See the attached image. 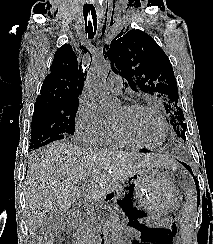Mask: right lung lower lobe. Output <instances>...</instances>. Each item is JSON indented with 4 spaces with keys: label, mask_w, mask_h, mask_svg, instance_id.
<instances>
[{
    "label": "right lung lower lobe",
    "mask_w": 213,
    "mask_h": 244,
    "mask_svg": "<svg viewBox=\"0 0 213 244\" xmlns=\"http://www.w3.org/2000/svg\"><path fill=\"white\" fill-rule=\"evenodd\" d=\"M64 138H65V136H63V135H58L56 137H52V138L44 141L43 143H41L40 145H38L37 147H35V148L31 149V150L38 149L39 147H42V146H44V145H46V144H48L50 142H53V141H56V140H60V139H64Z\"/></svg>",
    "instance_id": "1"
}]
</instances>
